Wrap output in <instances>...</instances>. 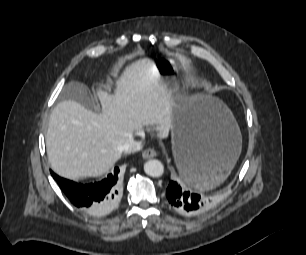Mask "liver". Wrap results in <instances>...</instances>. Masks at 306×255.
Listing matches in <instances>:
<instances>
[{"instance_id":"liver-1","label":"liver","mask_w":306,"mask_h":255,"mask_svg":"<svg viewBox=\"0 0 306 255\" xmlns=\"http://www.w3.org/2000/svg\"><path fill=\"white\" fill-rule=\"evenodd\" d=\"M98 114L76 100L53 109L46 134L52 170L68 179L98 177L121 157L120 147L133 133L155 126L160 138L173 127V100L154 62L140 60L127 67L115 94L98 90Z\"/></svg>"}]
</instances>
